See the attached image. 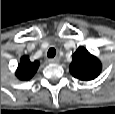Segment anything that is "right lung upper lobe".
Returning <instances> with one entry per match:
<instances>
[{"label": "right lung upper lobe", "instance_id": "cb5924a9", "mask_svg": "<svg viewBox=\"0 0 115 114\" xmlns=\"http://www.w3.org/2000/svg\"><path fill=\"white\" fill-rule=\"evenodd\" d=\"M39 67V61L31 62L29 56L25 55L21 58L20 64L18 65L16 76L20 80H29L37 72Z\"/></svg>", "mask_w": 115, "mask_h": 114}]
</instances>
